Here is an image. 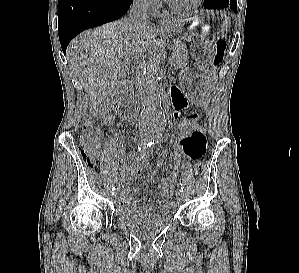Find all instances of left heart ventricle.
I'll use <instances>...</instances> for the list:
<instances>
[{"label":"left heart ventricle","instance_id":"1","mask_svg":"<svg viewBox=\"0 0 299 273\" xmlns=\"http://www.w3.org/2000/svg\"><path fill=\"white\" fill-rule=\"evenodd\" d=\"M170 1L177 6L186 7L189 6L191 3H193L194 0H170Z\"/></svg>","mask_w":299,"mask_h":273}]
</instances>
